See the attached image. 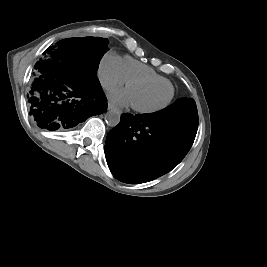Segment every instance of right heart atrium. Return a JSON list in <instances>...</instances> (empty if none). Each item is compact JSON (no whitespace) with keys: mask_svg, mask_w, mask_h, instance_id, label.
Segmentation results:
<instances>
[{"mask_svg":"<svg viewBox=\"0 0 267 267\" xmlns=\"http://www.w3.org/2000/svg\"><path fill=\"white\" fill-rule=\"evenodd\" d=\"M121 60L114 53L108 52L103 55L98 66V78L105 89L120 86L125 83Z\"/></svg>","mask_w":267,"mask_h":267,"instance_id":"d8ad5b80","label":"right heart atrium"}]
</instances>
